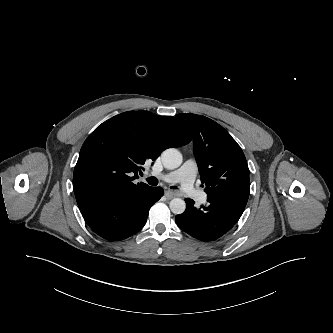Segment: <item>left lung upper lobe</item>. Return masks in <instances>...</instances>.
<instances>
[{
  "mask_svg": "<svg viewBox=\"0 0 333 333\" xmlns=\"http://www.w3.org/2000/svg\"><path fill=\"white\" fill-rule=\"evenodd\" d=\"M176 116L192 132L193 151L205 192L224 182L249 177L242 149L222 126L202 115L182 113Z\"/></svg>",
  "mask_w": 333,
  "mask_h": 333,
  "instance_id": "5c2ea615",
  "label": "left lung upper lobe"
}]
</instances>
